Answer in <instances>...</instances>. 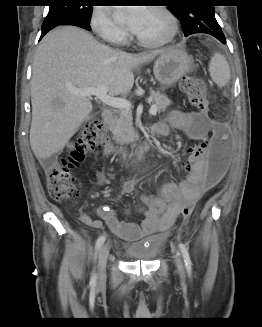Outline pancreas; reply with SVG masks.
Wrapping results in <instances>:
<instances>
[{"label": "pancreas", "instance_id": "obj_1", "mask_svg": "<svg viewBox=\"0 0 262 327\" xmlns=\"http://www.w3.org/2000/svg\"><path fill=\"white\" fill-rule=\"evenodd\" d=\"M150 97L153 99L158 112L165 111L171 105V100L165 94L160 92L151 91ZM132 113L129 110H120L115 115L111 131L113 139L123 145L134 141L135 131L133 128Z\"/></svg>", "mask_w": 262, "mask_h": 327}]
</instances>
